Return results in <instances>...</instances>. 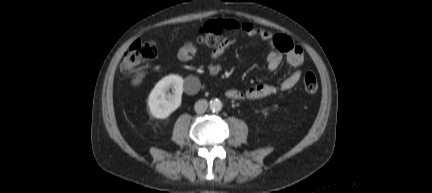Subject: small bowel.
<instances>
[{
	"label": "small bowel",
	"mask_w": 432,
	"mask_h": 193,
	"mask_svg": "<svg viewBox=\"0 0 432 193\" xmlns=\"http://www.w3.org/2000/svg\"><path fill=\"white\" fill-rule=\"evenodd\" d=\"M212 24L219 26L223 31L242 32L250 37H258L266 42L268 47L267 65L270 71L278 69L284 58L286 63L291 67H299L304 61L302 48L295 45L292 39L288 36L273 34L270 31L257 27L250 22H242L233 19H220L211 21L206 25ZM221 52V49L214 51L207 65V71L212 76L218 75L222 70V65L219 62ZM195 53L196 46L193 43L188 42L178 48L177 58L181 62H189L194 58ZM300 77L301 71L296 70L276 85L255 84L246 91L229 88L226 91V96L234 100H255L266 98L278 92L293 88L300 80ZM199 88L200 83L196 77L191 76L186 79L185 91L187 94H195L199 91Z\"/></svg>",
	"instance_id": "1"
}]
</instances>
